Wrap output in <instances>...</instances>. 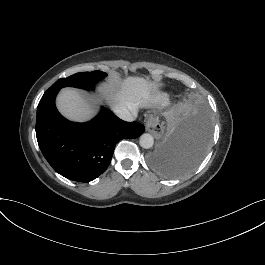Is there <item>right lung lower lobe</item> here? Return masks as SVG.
<instances>
[{
  "instance_id": "1",
  "label": "right lung lower lobe",
  "mask_w": 265,
  "mask_h": 265,
  "mask_svg": "<svg viewBox=\"0 0 265 265\" xmlns=\"http://www.w3.org/2000/svg\"><path fill=\"white\" fill-rule=\"evenodd\" d=\"M59 90L48 89L38 104V145L59 174L74 181H92L107 169L116 143L137 138L145 128L138 122H125L104 108L89 122H70L56 109Z\"/></svg>"
}]
</instances>
